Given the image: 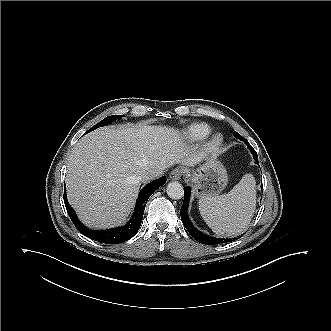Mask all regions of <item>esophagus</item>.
<instances>
[{
  "label": "esophagus",
  "mask_w": 331,
  "mask_h": 331,
  "mask_svg": "<svg viewBox=\"0 0 331 331\" xmlns=\"http://www.w3.org/2000/svg\"><path fill=\"white\" fill-rule=\"evenodd\" d=\"M182 177V170L179 168H175L171 171L169 178L171 180H180Z\"/></svg>",
  "instance_id": "1"
}]
</instances>
